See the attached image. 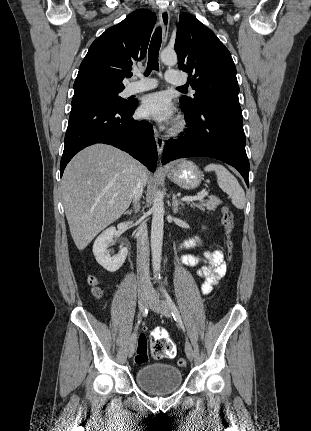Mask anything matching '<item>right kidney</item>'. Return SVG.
Here are the masks:
<instances>
[{"label": "right kidney", "instance_id": "obj_1", "mask_svg": "<svg viewBox=\"0 0 311 431\" xmlns=\"http://www.w3.org/2000/svg\"><path fill=\"white\" fill-rule=\"evenodd\" d=\"M116 233V227H108L105 231H102L98 237H96L93 245V253L96 261L105 267L107 271H117L121 265H123L127 255V247H121L120 251L116 255H110L107 247L111 241H114L113 235Z\"/></svg>", "mask_w": 311, "mask_h": 431}]
</instances>
